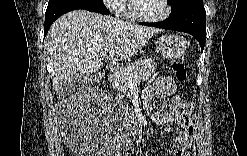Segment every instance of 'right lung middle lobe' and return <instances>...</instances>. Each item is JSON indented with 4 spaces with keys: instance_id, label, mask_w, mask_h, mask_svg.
Instances as JSON below:
<instances>
[{
    "instance_id": "1",
    "label": "right lung middle lobe",
    "mask_w": 247,
    "mask_h": 156,
    "mask_svg": "<svg viewBox=\"0 0 247 156\" xmlns=\"http://www.w3.org/2000/svg\"><path fill=\"white\" fill-rule=\"evenodd\" d=\"M62 3H103V0H49L47 9Z\"/></svg>"
}]
</instances>
